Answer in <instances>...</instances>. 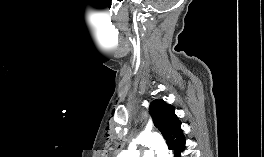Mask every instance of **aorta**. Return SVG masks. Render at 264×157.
I'll return each mask as SVG.
<instances>
[{
	"label": "aorta",
	"instance_id": "1",
	"mask_svg": "<svg viewBox=\"0 0 264 157\" xmlns=\"http://www.w3.org/2000/svg\"><path fill=\"white\" fill-rule=\"evenodd\" d=\"M137 145L151 147L156 151L157 157H171L163 139L156 133H142L130 144L128 150L122 152L120 157H139Z\"/></svg>",
	"mask_w": 264,
	"mask_h": 157
}]
</instances>
